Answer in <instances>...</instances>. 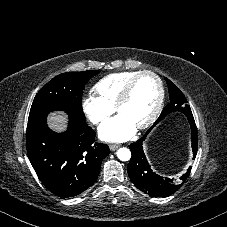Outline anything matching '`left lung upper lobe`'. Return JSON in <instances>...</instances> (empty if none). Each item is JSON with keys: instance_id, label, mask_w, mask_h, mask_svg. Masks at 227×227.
<instances>
[{"instance_id": "obj_1", "label": "left lung upper lobe", "mask_w": 227, "mask_h": 227, "mask_svg": "<svg viewBox=\"0 0 227 227\" xmlns=\"http://www.w3.org/2000/svg\"><path fill=\"white\" fill-rule=\"evenodd\" d=\"M165 80L168 84L170 103L163 109L157 121L147 131L148 133L157 123H159L163 118H165L166 116L173 112L184 113L187 116V118L193 116L190 106L187 105V100L183 93L169 79L165 78Z\"/></svg>"}]
</instances>
